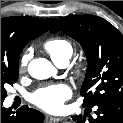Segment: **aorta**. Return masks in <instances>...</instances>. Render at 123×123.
<instances>
[{
    "label": "aorta",
    "instance_id": "aorta-1",
    "mask_svg": "<svg viewBox=\"0 0 123 123\" xmlns=\"http://www.w3.org/2000/svg\"><path fill=\"white\" fill-rule=\"evenodd\" d=\"M28 72L33 78L43 80L54 76L56 69L47 59L36 58L30 61Z\"/></svg>",
    "mask_w": 123,
    "mask_h": 123
}]
</instances>
